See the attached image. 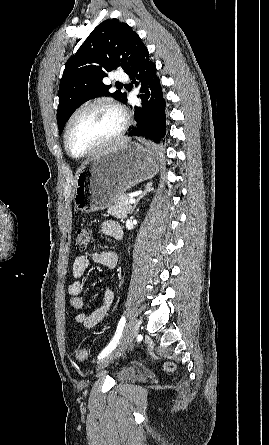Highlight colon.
I'll list each match as a JSON object with an SVG mask.
<instances>
[{"mask_svg":"<svg viewBox=\"0 0 269 445\" xmlns=\"http://www.w3.org/2000/svg\"><path fill=\"white\" fill-rule=\"evenodd\" d=\"M92 238V230L88 227H81L75 234V247L78 251H83L87 248ZM74 355L78 360H85L89 352L86 348L78 347L74 350ZM165 369L168 371L174 370V365L171 363L165 364Z\"/></svg>","mask_w":269,"mask_h":445,"instance_id":"5ec220e1","label":"colon"}]
</instances>
